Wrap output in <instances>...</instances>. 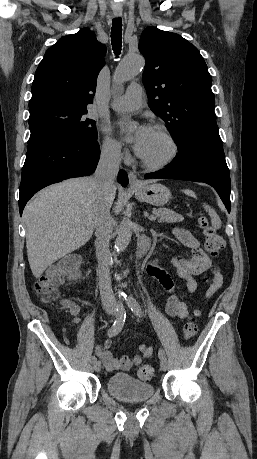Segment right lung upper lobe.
Instances as JSON below:
<instances>
[{
  "instance_id": "right-lung-upper-lobe-1",
  "label": "right lung upper lobe",
  "mask_w": 257,
  "mask_h": 459,
  "mask_svg": "<svg viewBox=\"0 0 257 459\" xmlns=\"http://www.w3.org/2000/svg\"><path fill=\"white\" fill-rule=\"evenodd\" d=\"M105 45L88 28L60 38L40 62L32 84L30 112L49 106L87 107L105 64Z\"/></svg>"
}]
</instances>
